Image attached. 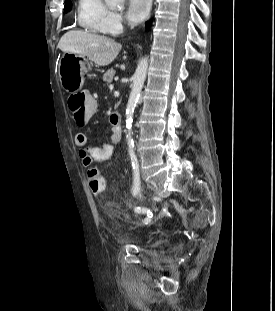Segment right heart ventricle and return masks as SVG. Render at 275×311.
Masks as SVG:
<instances>
[{"label":"right heart ventricle","mask_w":275,"mask_h":311,"mask_svg":"<svg viewBox=\"0 0 275 311\" xmlns=\"http://www.w3.org/2000/svg\"><path fill=\"white\" fill-rule=\"evenodd\" d=\"M110 13L105 0H78L76 22L86 32L106 35L109 33L107 22Z\"/></svg>","instance_id":"e07e8e85"}]
</instances>
